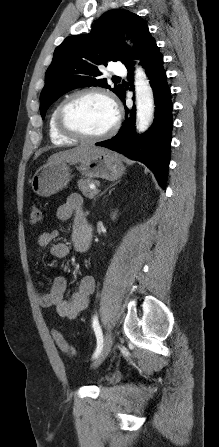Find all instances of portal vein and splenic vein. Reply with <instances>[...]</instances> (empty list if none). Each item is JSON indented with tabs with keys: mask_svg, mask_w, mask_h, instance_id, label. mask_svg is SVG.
Listing matches in <instances>:
<instances>
[{
	"mask_svg": "<svg viewBox=\"0 0 219 447\" xmlns=\"http://www.w3.org/2000/svg\"><path fill=\"white\" fill-rule=\"evenodd\" d=\"M89 187L95 192L98 193V189L93 184H90Z\"/></svg>",
	"mask_w": 219,
	"mask_h": 447,
	"instance_id": "portal-vein-and-splenic-vein-1",
	"label": "portal vein and splenic vein"
}]
</instances>
